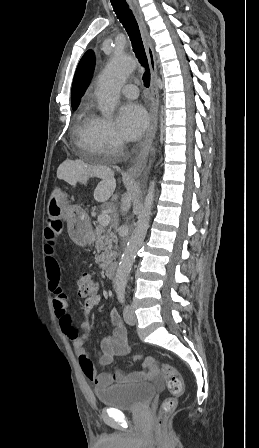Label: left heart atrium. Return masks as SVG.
<instances>
[{
  "instance_id": "39dd6f15",
  "label": "left heart atrium",
  "mask_w": 259,
  "mask_h": 448,
  "mask_svg": "<svg viewBox=\"0 0 259 448\" xmlns=\"http://www.w3.org/2000/svg\"><path fill=\"white\" fill-rule=\"evenodd\" d=\"M148 125L145 109L137 102L124 104L119 111L118 127L122 136L129 141L137 140Z\"/></svg>"
}]
</instances>
